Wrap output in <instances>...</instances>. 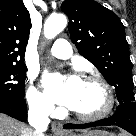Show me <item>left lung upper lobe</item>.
Instances as JSON below:
<instances>
[{"label":"left lung upper lobe","instance_id":"obj_1","mask_svg":"<svg viewBox=\"0 0 136 136\" xmlns=\"http://www.w3.org/2000/svg\"><path fill=\"white\" fill-rule=\"evenodd\" d=\"M72 42L115 88L120 104L135 102L132 63L121 20L93 0H65Z\"/></svg>","mask_w":136,"mask_h":136}]
</instances>
